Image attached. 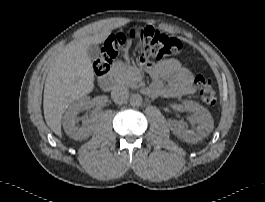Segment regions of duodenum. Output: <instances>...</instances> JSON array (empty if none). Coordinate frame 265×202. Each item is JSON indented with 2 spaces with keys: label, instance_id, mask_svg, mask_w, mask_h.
Masks as SVG:
<instances>
[{
  "label": "duodenum",
  "instance_id": "1",
  "mask_svg": "<svg viewBox=\"0 0 265 202\" xmlns=\"http://www.w3.org/2000/svg\"><path fill=\"white\" fill-rule=\"evenodd\" d=\"M98 84L100 88L103 90H106V91L112 90L115 87V77L113 74H107L99 80ZM142 91L145 94H148L151 92V88L145 87L142 89Z\"/></svg>",
  "mask_w": 265,
  "mask_h": 202
}]
</instances>
